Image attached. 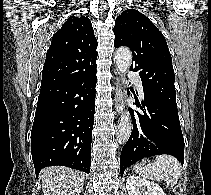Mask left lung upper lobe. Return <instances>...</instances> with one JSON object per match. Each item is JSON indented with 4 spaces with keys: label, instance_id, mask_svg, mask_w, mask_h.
<instances>
[{
    "label": "left lung upper lobe",
    "instance_id": "left-lung-upper-lobe-1",
    "mask_svg": "<svg viewBox=\"0 0 211 195\" xmlns=\"http://www.w3.org/2000/svg\"><path fill=\"white\" fill-rule=\"evenodd\" d=\"M113 31L114 46L131 49V70L139 73L143 91L177 107L172 58L163 34L133 9L116 18Z\"/></svg>",
    "mask_w": 211,
    "mask_h": 195
}]
</instances>
